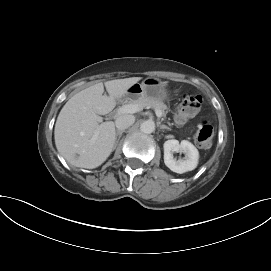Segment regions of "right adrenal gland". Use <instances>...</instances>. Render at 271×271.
Returning a JSON list of instances; mask_svg holds the SVG:
<instances>
[{
  "label": "right adrenal gland",
  "instance_id": "1",
  "mask_svg": "<svg viewBox=\"0 0 271 271\" xmlns=\"http://www.w3.org/2000/svg\"><path fill=\"white\" fill-rule=\"evenodd\" d=\"M123 132H124V130H118L116 132V143H115V147L117 146V144H118V142H119V140H120Z\"/></svg>",
  "mask_w": 271,
  "mask_h": 271
}]
</instances>
